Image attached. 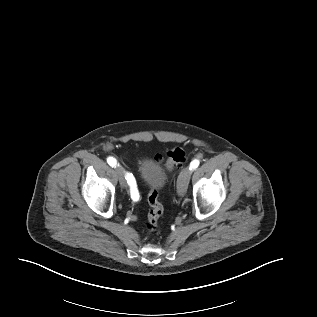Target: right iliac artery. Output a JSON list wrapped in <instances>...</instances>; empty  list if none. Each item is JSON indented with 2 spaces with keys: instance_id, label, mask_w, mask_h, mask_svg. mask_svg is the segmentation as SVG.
<instances>
[{
  "instance_id": "right-iliac-artery-1",
  "label": "right iliac artery",
  "mask_w": 317,
  "mask_h": 317,
  "mask_svg": "<svg viewBox=\"0 0 317 317\" xmlns=\"http://www.w3.org/2000/svg\"><path fill=\"white\" fill-rule=\"evenodd\" d=\"M107 162L110 166L112 167H115L116 164H117V161L115 158L113 157H108L107 158ZM127 183L128 185L130 186V194H131V198L134 200V201H137L139 199V194H138V191L136 190L135 188V180H134V177L132 176V174H129L127 173Z\"/></svg>"
}]
</instances>
